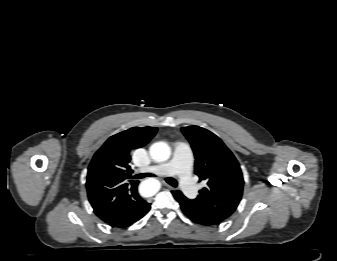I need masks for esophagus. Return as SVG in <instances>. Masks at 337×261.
Segmentation results:
<instances>
[{"label":"esophagus","mask_w":337,"mask_h":261,"mask_svg":"<svg viewBox=\"0 0 337 261\" xmlns=\"http://www.w3.org/2000/svg\"><path fill=\"white\" fill-rule=\"evenodd\" d=\"M166 186L170 189V190H173L174 188L168 184H166Z\"/></svg>","instance_id":"1"}]
</instances>
